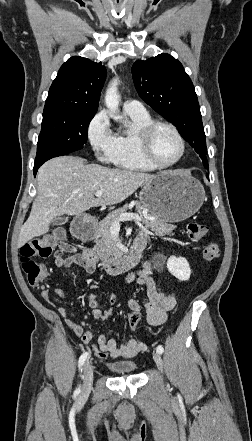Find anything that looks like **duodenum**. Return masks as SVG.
<instances>
[{"mask_svg":"<svg viewBox=\"0 0 252 441\" xmlns=\"http://www.w3.org/2000/svg\"><path fill=\"white\" fill-rule=\"evenodd\" d=\"M95 223V218H90L88 223L75 222L71 227V231L77 239L89 240L93 236L92 226ZM144 243L145 241L141 240L137 245H133L127 254L120 256L104 255L100 257L95 251L89 249L83 250L81 255L87 261H99L107 273L118 274L134 267L139 262Z\"/></svg>","mask_w":252,"mask_h":441,"instance_id":"410a0bca","label":"duodenum"}]
</instances>
